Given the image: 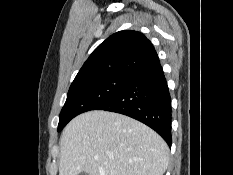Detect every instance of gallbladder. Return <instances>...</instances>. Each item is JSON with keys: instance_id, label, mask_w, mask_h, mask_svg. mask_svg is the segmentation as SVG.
Masks as SVG:
<instances>
[{"instance_id": "obj_1", "label": "gallbladder", "mask_w": 233, "mask_h": 175, "mask_svg": "<svg viewBox=\"0 0 233 175\" xmlns=\"http://www.w3.org/2000/svg\"><path fill=\"white\" fill-rule=\"evenodd\" d=\"M80 175H87V173H85V172H82V173H80Z\"/></svg>"}]
</instances>
